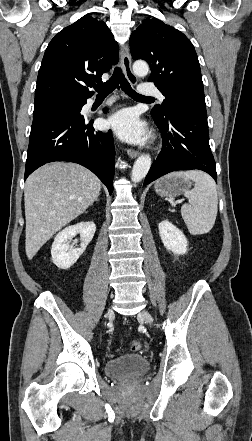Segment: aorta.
I'll return each instance as SVG.
<instances>
[{
	"label": "aorta",
	"instance_id": "1",
	"mask_svg": "<svg viewBox=\"0 0 252 441\" xmlns=\"http://www.w3.org/2000/svg\"><path fill=\"white\" fill-rule=\"evenodd\" d=\"M149 66L144 61H136L133 64V72L139 77H144L148 74ZM151 167V157L149 155H141L135 161L132 172L131 180L134 183L140 182L145 178Z\"/></svg>",
	"mask_w": 252,
	"mask_h": 441
}]
</instances>
